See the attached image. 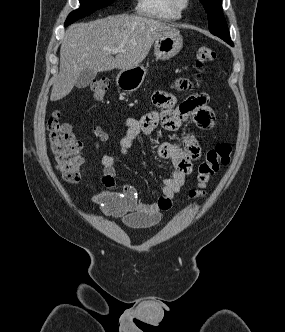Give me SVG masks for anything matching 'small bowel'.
Instances as JSON below:
<instances>
[{"label": "small bowel", "mask_w": 285, "mask_h": 332, "mask_svg": "<svg viewBox=\"0 0 285 332\" xmlns=\"http://www.w3.org/2000/svg\"><path fill=\"white\" fill-rule=\"evenodd\" d=\"M179 90L191 87L187 79L175 83ZM205 93H195L180 104L176 96L165 91L153 95L154 104L161 109L156 114H146L140 118H127L124 122L125 135L120 140V153L126 155L134 140L149 135L158 122L168 130H175L188 120L199 128L209 130L215 125V114L207 103ZM158 155L170 160L168 174L162 177L161 195L150 202H143L137 189L125 185L122 191H116L115 159L109 154L102 156L103 173L101 183L105 190L97 192L90 183L91 200L99 210L112 217L121 218L123 223L132 227H150L160 222L163 212L169 210L173 199L183 188L187 175L191 172L192 163L201 156V146L195 135H187L181 145L164 142L158 147Z\"/></svg>", "instance_id": "1"}]
</instances>
